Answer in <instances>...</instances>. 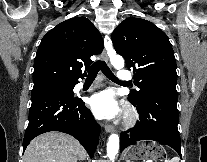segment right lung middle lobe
Returning a JSON list of instances; mask_svg holds the SVG:
<instances>
[{"instance_id":"dd1d6c3e","label":"right lung middle lobe","mask_w":207,"mask_h":162,"mask_svg":"<svg viewBox=\"0 0 207 162\" xmlns=\"http://www.w3.org/2000/svg\"><path fill=\"white\" fill-rule=\"evenodd\" d=\"M73 88L74 86L72 84H54V85L33 88L32 93L39 92V91H45V90H51V89H58L67 94H71L74 96Z\"/></svg>"}]
</instances>
